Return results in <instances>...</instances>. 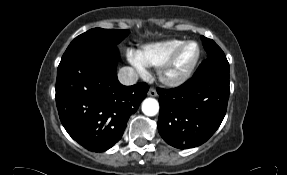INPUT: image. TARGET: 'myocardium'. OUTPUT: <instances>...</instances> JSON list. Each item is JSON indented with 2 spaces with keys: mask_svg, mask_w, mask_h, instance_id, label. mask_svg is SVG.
<instances>
[{
  "mask_svg": "<svg viewBox=\"0 0 287 175\" xmlns=\"http://www.w3.org/2000/svg\"><path fill=\"white\" fill-rule=\"evenodd\" d=\"M194 44L197 48V53L192 64L183 72L173 74L172 70L181 51L188 45ZM201 59V47L198 42L193 40L184 41L179 45L173 53L159 68V78L167 86L176 87L186 83L194 74Z\"/></svg>",
  "mask_w": 287,
  "mask_h": 175,
  "instance_id": "myocardium-1",
  "label": "myocardium"
}]
</instances>
